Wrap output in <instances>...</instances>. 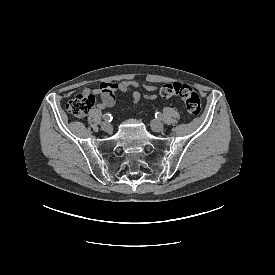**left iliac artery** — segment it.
Returning a JSON list of instances; mask_svg holds the SVG:
<instances>
[{
	"label": "left iliac artery",
	"instance_id": "44dca946",
	"mask_svg": "<svg viewBox=\"0 0 275 275\" xmlns=\"http://www.w3.org/2000/svg\"><path fill=\"white\" fill-rule=\"evenodd\" d=\"M155 117H156L157 119L161 120V119H162V114L159 113V112H156V113H155Z\"/></svg>",
	"mask_w": 275,
	"mask_h": 275
}]
</instances>
